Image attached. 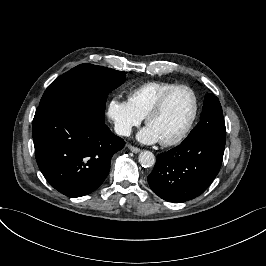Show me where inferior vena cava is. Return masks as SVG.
Masks as SVG:
<instances>
[{
    "mask_svg": "<svg viewBox=\"0 0 266 266\" xmlns=\"http://www.w3.org/2000/svg\"><path fill=\"white\" fill-rule=\"evenodd\" d=\"M114 130L116 134L121 135V136H130L131 135V127L128 125L116 123L114 126Z\"/></svg>",
    "mask_w": 266,
    "mask_h": 266,
    "instance_id": "1",
    "label": "inferior vena cava"
}]
</instances>
